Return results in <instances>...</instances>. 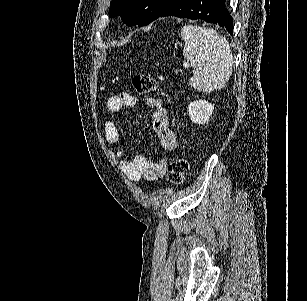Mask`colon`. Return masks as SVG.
Masks as SVG:
<instances>
[{
    "label": "colon",
    "mask_w": 307,
    "mask_h": 301,
    "mask_svg": "<svg viewBox=\"0 0 307 301\" xmlns=\"http://www.w3.org/2000/svg\"><path fill=\"white\" fill-rule=\"evenodd\" d=\"M134 89L139 94H146L157 89L158 81L150 74H138L132 79ZM189 161L184 157L173 159L167 167V178L175 184H183L189 173Z\"/></svg>",
    "instance_id": "colon-1"
}]
</instances>
